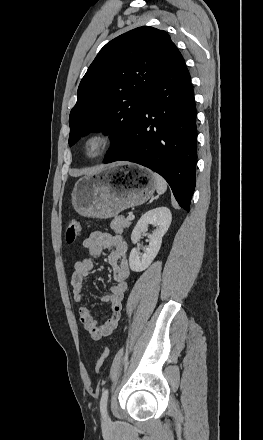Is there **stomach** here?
I'll return each instance as SVG.
<instances>
[{"label": "stomach", "instance_id": "0dacf381", "mask_svg": "<svg viewBox=\"0 0 263 440\" xmlns=\"http://www.w3.org/2000/svg\"><path fill=\"white\" fill-rule=\"evenodd\" d=\"M155 189L156 182L149 169L132 165L128 169L107 166L75 183L72 205L82 216L108 219L145 203Z\"/></svg>", "mask_w": 263, "mask_h": 440}]
</instances>
